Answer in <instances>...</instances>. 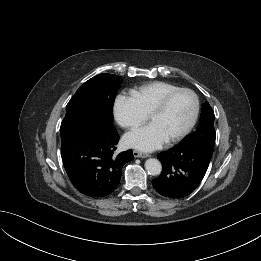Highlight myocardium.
<instances>
[{
  "instance_id": "myocardium-1",
  "label": "myocardium",
  "mask_w": 261,
  "mask_h": 261,
  "mask_svg": "<svg viewBox=\"0 0 261 261\" xmlns=\"http://www.w3.org/2000/svg\"><path fill=\"white\" fill-rule=\"evenodd\" d=\"M183 93H186V94H189L192 96V98L194 100L193 112H192L191 118H190L188 124L186 125V127L178 134L168 138V141H170V142H175V141L181 140L186 135H188L189 132L194 127V125L197 121L198 115H199V111H200V100H199L198 95L191 89L180 88L178 90H175V91L169 93L167 96H165L164 99L149 114V119H150L151 117H153L155 115H159V114L163 113L168 108V106L172 102V100L176 96L183 94Z\"/></svg>"
}]
</instances>
